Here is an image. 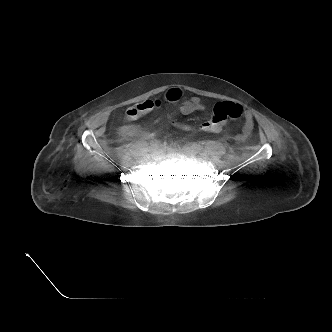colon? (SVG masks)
I'll use <instances>...</instances> for the list:
<instances>
[{"label": "colon", "instance_id": "colon-1", "mask_svg": "<svg viewBox=\"0 0 332 332\" xmlns=\"http://www.w3.org/2000/svg\"><path fill=\"white\" fill-rule=\"evenodd\" d=\"M175 95L168 96V99H175ZM163 106L161 100H144L139 103H136L130 106L125 112V119L127 121L135 120L145 114H148L155 109H158ZM244 115V109L235 103L232 102H219L217 103L212 111L210 118L202 122L198 130L203 132L215 133L221 130L224 124L228 120H236L241 118ZM170 122L172 125L183 131L191 132L195 131L196 128L186 124L172 116H169Z\"/></svg>", "mask_w": 332, "mask_h": 332}]
</instances>
